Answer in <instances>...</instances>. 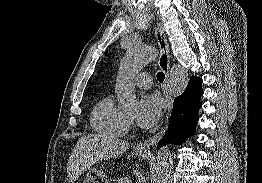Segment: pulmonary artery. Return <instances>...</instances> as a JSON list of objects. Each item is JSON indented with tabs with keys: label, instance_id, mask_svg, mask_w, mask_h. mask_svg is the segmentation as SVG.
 <instances>
[{
	"label": "pulmonary artery",
	"instance_id": "obj_1",
	"mask_svg": "<svg viewBox=\"0 0 262 183\" xmlns=\"http://www.w3.org/2000/svg\"><path fill=\"white\" fill-rule=\"evenodd\" d=\"M134 83L140 88H149L152 84V78L148 73H140L134 78Z\"/></svg>",
	"mask_w": 262,
	"mask_h": 183
}]
</instances>
